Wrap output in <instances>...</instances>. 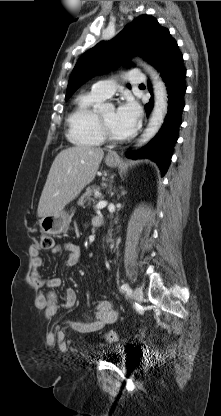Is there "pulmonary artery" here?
<instances>
[{"mask_svg": "<svg viewBox=\"0 0 221 416\" xmlns=\"http://www.w3.org/2000/svg\"><path fill=\"white\" fill-rule=\"evenodd\" d=\"M127 79L131 84L137 85L143 83L146 76L139 69H130L127 71ZM117 87L118 83L115 80H102L93 84L92 91L103 98H108L112 96Z\"/></svg>", "mask_w": 221, "mask_h": 416, "instance_id": "1", "label": "pulmonary artery"}]
</instances>
